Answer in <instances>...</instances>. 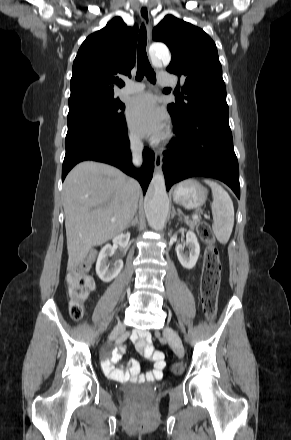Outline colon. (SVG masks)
I'll return each instance as SVG.
<instances>
[{"label":"colon","mask_w":291,"mask_h":440,"mask_svg":"<svg viewBox=\"0 0 291 440\" xmlns=\"http://www.w3.org/2000/svg\"><path fill=\"white\" fill-rule=\"evenodd\" d=\"M197 235L205 242L204 266L201 277V296L203 312L207 320H212L216 312L217 296L220 286L221 264L218 248L213 233L206 222H199L196 227ZM85 261L80 268L72 272L68 278V294L71 299L70 315L80 319L86 311V301L93 288L91 279L84 273L87 266ZM160 352L154 356L159 357Z\"/></svg>","instance_id":"5ec220e1"}]
</instances>
